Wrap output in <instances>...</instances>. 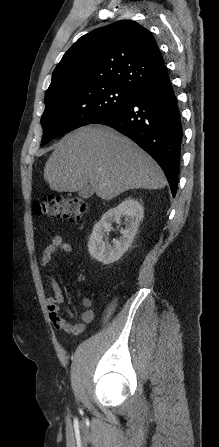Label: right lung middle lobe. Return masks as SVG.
Here are the masks:
<instances>
[{
	"label": "right lung middle lobe",
	"instance_id": "dd1d6c3e",
	"mask_svg": "<svg viewBox=\"0 0 219 447\" xmlns=\"http://www.w3.org/2000/svg\"><path fill=\"white\" fill-rule=\"evenodd\" d=\"M134 94L114 85H103L86 92L60 90L45 96L41 118L45 145L58 135L93 123L99 117L127 104Z\"/></svg>",
	"mask_w": 219,
	"mask_h": 447
}]
</instances>
